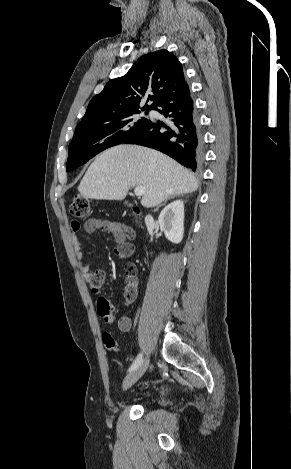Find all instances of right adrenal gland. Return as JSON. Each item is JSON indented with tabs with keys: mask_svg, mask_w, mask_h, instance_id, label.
<instances>
[{
	"mask_svg": "<svg viewBox=\"0 0 291 469\" xmlns=\"http://www.w3.org/2000/svg\"><path fill=\"white\" fill-rule=\"evenodd\" d=\"M177 196H179V195H172V196L168 197V198L165 200V202H166L168 199H170V198H175V197H177ZM165 202H164L163 204H165ZM163 204H160L159 206H157V208L154 209V212H156V211L159 209V207H161Z\"/></svg>",
	"mask_w": 291,
	"mask_h": 469,
	"instance_id": "2a0ac1e0",
	"label": "right adrenal gland"
}]
</instances>
